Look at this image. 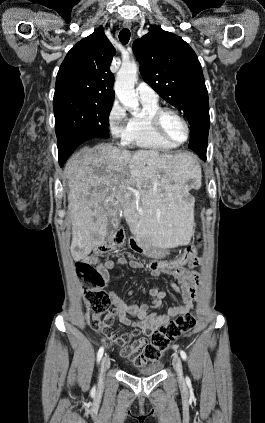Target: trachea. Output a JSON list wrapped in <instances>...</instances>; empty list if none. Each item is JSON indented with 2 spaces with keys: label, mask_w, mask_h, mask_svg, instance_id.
Returning <instances> with one entry per match:
<instances>
[{
  "label": "trachea",
  "mask_w": 265,
  "mask_h": 423,
  "mask_svg": "<svg viewBox=\"0 0 265 423\" xmlns=\"http://www.w3.org/2000/svg\"><path fill=\"white\" fill-rule=\"evenodd\" d=\"M130 31L127 28H124L119 33V40L122 44H127L130 40Z\"/></svg>",
  "instance_id": "1"
}]
</instances>
